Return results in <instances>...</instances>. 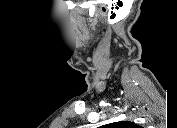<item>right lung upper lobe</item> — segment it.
<instances>
[{
    "label": "right lung upper lobe",
    "instance_id": "obj_1",
    "mask_svg": "<svg viewBox=\"0 0 177 128\" xmlns=\"http://www.w3.org/2000/svg\"><path fill=\"white\" fill-rule=\"evenodd\" d=\"M110 126L115 127V128H138L139 127L138 125L130 121L115 122L111 124Z\"/></svg>",
    "mask_w": 177,
    "mask_h": 128
}]
</instances>
